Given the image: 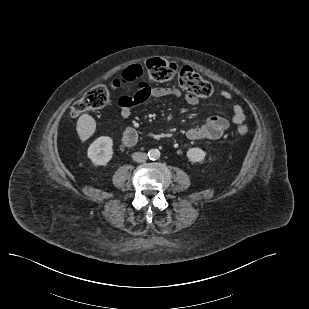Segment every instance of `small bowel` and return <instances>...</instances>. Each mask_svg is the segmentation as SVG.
<instances>
[{
	"label": "small bowel",
	"instance_id": "1",
	"mask_svg": "<svg viewBox=\"0 0 309 309\" xmlns=\"http://www.w3.org/2000/svg\"><path fill=\"white\" fill-rule=\"evenodd\" d=\"M136 65L141 67V71L143 74L145 72L144 65L140 64ZM132 81L134 80H132L127 75V68H126L111 81V88L113 90H117L119 88L126 86ZM181 96L182 93L177 88L160 87V86L152 87L145 82H141L136 92L133 95H123L118 99V106L120 108L121 117L127 119L130 117L131 111L135 106L143 104L150 98H164V97L180 98ZM221 96L228 101L232 99L231 93L225 90L221 91ZM184 98L188 104L193 106L197 105L199 102L198 98L191 94H185ZM232 109H233V118H232L233 123L237 125L243 124L246 119V115L242 106L238 103H234ZM228 127H229V121L226 118L218 115H213L208 117L202 125L190 128L187 131V137L190 140H202V139L215 140L219 139L228 129ZM122 141L124 145L127 147L135 145L138 141V134L136 129L133 127H127L124 130Z\"/></svg>",
	"mask_w": 309,
	"mask_h": 309
}]
</instances>
